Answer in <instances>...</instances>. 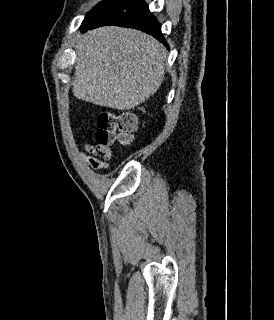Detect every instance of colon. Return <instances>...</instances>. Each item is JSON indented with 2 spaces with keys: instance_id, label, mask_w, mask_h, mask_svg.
<instances>
[{
  "instance_id": "5ec220e1",
  "label": "colon",
  "mask_w": 274,
  "mask_h": 320,
  "mask_svg": "<svg viewBox=\"0 0 274 320\" xmlns=\"http://www.w3.org/2000/svg\"><path fill=\"white\" fill-rule=\"evenodd\" d=\"M95 143H105L106 149L110 148V142L118 132L117 140L122 145L130 144L134 139V132L138 128V119L135 113L122 111L112 115L108 112L100 113L96 118Z\"/></svg>"
}]
</instances>
